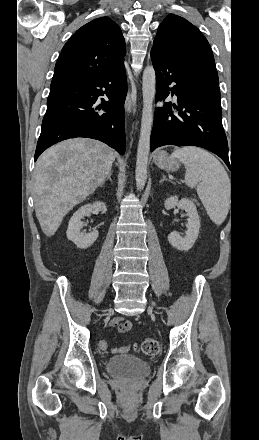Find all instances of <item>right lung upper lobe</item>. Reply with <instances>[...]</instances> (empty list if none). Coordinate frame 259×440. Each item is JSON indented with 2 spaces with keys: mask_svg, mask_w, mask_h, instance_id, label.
I'll return each instance as SVG.
<instances>
[{
  "mask_svg": "<svg viewBox=\"0 0 259 440\" xmlns=\"http://www.w3.org/2000/svg\"><path fill=\"white\" fill-rule=\"evenodd\" d=\"M125 54L120 27L109 17L97 18L78 29L64 45L51 86L108 74L123 65Z\"/></svg>",
  "mask_w": 259,
  "mask_h": 440,
  "instance_id": "obj_1",
  "label": "right lung upper lobe"
}]
</instances>
